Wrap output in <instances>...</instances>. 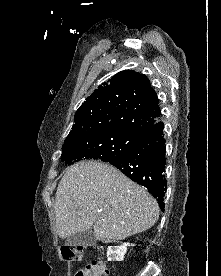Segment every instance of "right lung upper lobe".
<instances>
[{
  "mask_svg": "<svg viewBox=\"0 0 221 276\" xmlns=\"http://www.w3.org/2000/svg\"><path fill=\"white\" fill-rule=\"evenodd\" d=\"M160 116L158 98L148 78L124 70L86 98L65 142L112 132L142 138Z\"/></svg>",
  "mask_w": 221,
  "mask_h": 276,
  "instance_id": "1",
  "label": "right lung upper lobe"
}]
</instances>
